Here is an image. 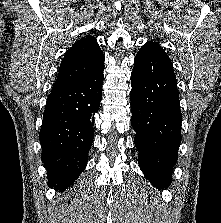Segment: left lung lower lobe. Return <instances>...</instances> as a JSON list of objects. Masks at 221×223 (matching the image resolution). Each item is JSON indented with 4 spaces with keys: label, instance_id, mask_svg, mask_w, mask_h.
<instances>
[{
    "label": "left lung lower lobe",
    "instance_id": "obj_1",
    "mask_svg": "<svg viewBox=\"0 0 221 223\" xmlns=\"http://www.w3.org/2000/svg\"><path fill=\"white\" fill-rule=\"evenodd\" d=\"M131 81V123L139 166L153 186L167 188L177 161L182 115L173 65L163 48L141 47Z\"/></svg>",
    "mask_w": 221,
    "mask_h": 223
}]
</instances>
